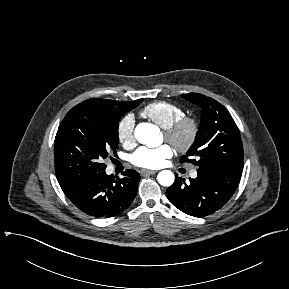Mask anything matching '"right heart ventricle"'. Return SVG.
Returning <instances> with one entry per match:
<instances>
[{
    "instance_id": "e07e8e85",
    "label": "right heart ventricle",
    "mask_w": 289,
    "mask_h": 289,
    "mask_svg": "<svg viewBox=\"0 0 289 289\" xmlns=\"http://www.w3.org/2000/svg\"><path fill=\"white\" fill-rule=\"evenodd\" d=\"M141 115L166 129L184 116V110L181 106L171 102L155 101L145 106L141 111Z\"/></svg>"
}]
</instances>
